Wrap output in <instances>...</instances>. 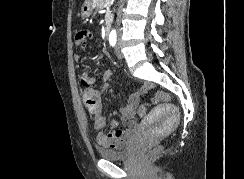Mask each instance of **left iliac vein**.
Segmentation results:
<instances>
[{
    "label": "left iliac vein",
    "instance_id": "4c4485c4",
    "mask_svg": "<svg viewBox=\"0 0 244 179\" xmlns=\"http://www.w3.org/2000/svg\"><path fill=\"white\" fill-rule=\"evenodd\" d=\"M115 53L117 55L118 58H122V53H121V47H120V42L118 40L116 48H115Z\"/></svg>",
    "mask_w": 244,
    "mask_h": 179
}]
</instances>
